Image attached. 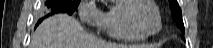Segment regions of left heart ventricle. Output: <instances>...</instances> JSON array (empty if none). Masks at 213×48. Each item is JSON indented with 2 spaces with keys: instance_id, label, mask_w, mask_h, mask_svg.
I'll return each instance as SVG.
<instances>
[{
  "instance_id": "1",
  "label": "left heart ventricle",
  "mask_w": 213,
  "mask_h": 48,
  "mask_svg": "<svg viewBox=\"0 0 213 48\" xmlns=\"http://www.w3.org/2000/svg\"><path fill=\"white\" fill-rule=\"evenodd\" d=\"M130 16L142 33H151L157 28L156 13L152 6L144 2H138L130 11Z\"/></svg>"
}]
</instances>
